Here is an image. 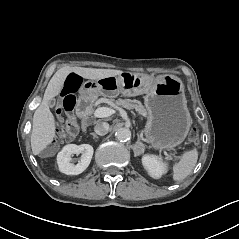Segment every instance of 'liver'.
<instances>
[{"mask_svg":"<svg viewBox=\"0 0 239 239\" xmlns=\"http://www.w3.org/2000/svg\"><path fill=\"white\" fill-rule=\"evenodd\" d=\"M70 72H74L85 79L92 80L117 76L122 73L121 70L114 69H94L69 66L62 67L57 70L50 79L45 90L43 100L33 116L31 148L34 155H38L41 151H43L55 137V120L49 109L48 101L60 93L63 88L65 78Z\"/></svg>","mask_w":239,"mask_h":239,"instance_id":"1","label":"liver"}]
</instances>
